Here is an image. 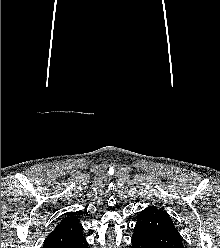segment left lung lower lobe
<instances>
[{
	"mask_svg": "<svg viewBox=\"0 0 220 248\" xmlns=\"http://www.w3.org/2000/svg\"><path fill=\"white\" fill-rule=\"evenodd\" d=\"M131 242L132 248H161V246L150 239L142 229L137 227L134 228Z\"/></svg>",
	"mask_w": 220,
	"mask_h": 248,
	"instance_id": "1",
	"label": "left lung lower lobe"
}]
</instances>
